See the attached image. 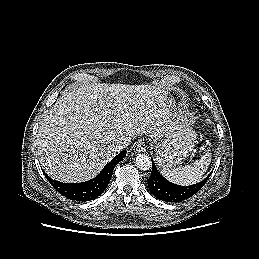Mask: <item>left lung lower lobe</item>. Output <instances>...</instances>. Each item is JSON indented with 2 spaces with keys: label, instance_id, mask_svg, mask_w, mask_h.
I'll return each mask as SVG.
<instances>
[{
  "label": "left lung lower lobe",
  "instance_id": "1",
  "mask_svg": "<svg viewBox=\"0 0 259 259\" xmlns=\"http://www.w3.org/2000/svg\"><path fill=\"white\" fill-rule=\"evenodd\" d=\"M210 175L203 181L191 186L176 185L167 181L158 172L152 160V172L148 179V187L150 192L160 200L166 202H179L196 194L205 185Z\"/></svg>",
  "mask_w": 259,
  "mask_h": 259
}]
</instances>
